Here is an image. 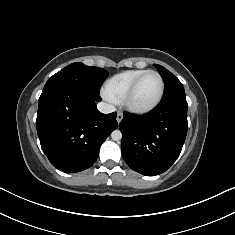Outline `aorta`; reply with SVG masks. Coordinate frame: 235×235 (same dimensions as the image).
Wrapping results in <instances>:
<instances>
[{
  "instance_id": "762f6f07",
  "label": "aorta",
  "mask_w": 235,
  "mask_h": 235,
  "mask_svg": "<svg viewBox=\"0 0 235 235\" xmlns=\"http://www.w3.org/2000/svg\"><path fill=\"white\" fill-rule=\"evenodd\" d=\"M111 137L114 141H119L121 140L122 138V133L120 130H114L112 133H111Z\"/></svg>"
}]
</instances>
